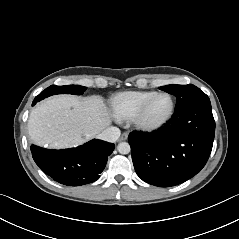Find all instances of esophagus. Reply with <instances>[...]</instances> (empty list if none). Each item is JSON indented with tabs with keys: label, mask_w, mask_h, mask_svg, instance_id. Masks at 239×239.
<instances>
[{
	"label": "esophagus",
	"mask_w": 239,
	"mask_h": 239,
	"mask_svg": "<svg viewBox=\"0 0 239 239\" xmlns=\"http://www.w3.org/2000/svg\"><path fill=\"white\" fill-rule=\"evenodd\" d=\"M127 138H128V133H127V132H124V133L121 135L120 140H121V141H124V140H126Z\"/></svg>",
	"instance_id": "1"
}]
</instances>
